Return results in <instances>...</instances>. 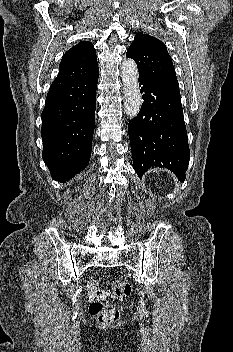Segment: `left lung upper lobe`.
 Listing matches in <instances>:
<instances>
[{
  "label": "left lung upper lobe",
  "instance_id": "1",
  "mask_svg": "<svg viewBox=\"0 0 233 352\" xmlns=\"http://www.w3.org/2000/svg\"><path fill=\"white\" fill-rule=\"evenodd\" d=\"M126 56L136 62L139 75L180 95L172 59L162 41L139 32L135 35Z\"/></svg>",
  "mask_w": 233,
  "mask_h": 352
}]
</instances>
